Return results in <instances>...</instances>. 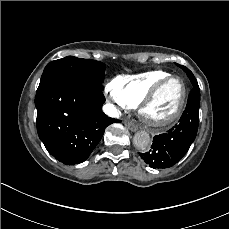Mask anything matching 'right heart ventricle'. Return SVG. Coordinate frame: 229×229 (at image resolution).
I'll list each match as a JSON object with an SVG mask.
<instances>
[{
	"instance_id": "e07e8e85",
	"label": "right heart ventricle",
	"mask_w": 229,
	"mask_h": 229,
	"mask_svg": "<svg viewBox=\"0 0 229 229\" xmlns=\"http://www.w3.org/2000/svg\"><path fill=\"white\" fill-rule=\"evenodd\" d=\"M171 75L170 72L161 69L122 75L113 81L112 86L116 95L134 105L140 102L141 97L153 82L160 78L165 80Z\"/></svg>"
}]
</instances>
